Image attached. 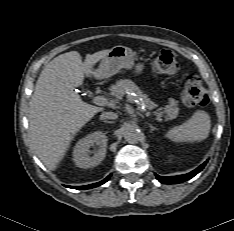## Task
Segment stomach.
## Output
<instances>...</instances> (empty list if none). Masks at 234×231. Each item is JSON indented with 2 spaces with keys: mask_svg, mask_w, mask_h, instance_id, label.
<instances>
[{
  "mask_svg": "<svg viewBox=\"0 0 234 231\" xmlns=\"http://www.w3.org/2000/svg\"><path fill=\"white\" fill-rule=\"evenodd\" d=\"M122 68H134L135 74L139 75L142 73L144 65L134 63V52L131 48L119 45L110 49L107 56L101 59L93 76L97 79H106L117 74Z\"/></svg>",
  "mask_w": 234,
  "mask_h": 231,
  "instance_id": "stomach-1",
  "label": "stomach"
}]
</instances>
